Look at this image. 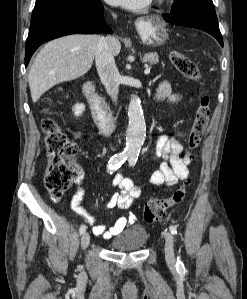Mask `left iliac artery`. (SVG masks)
I'll return each mask as SVG.
<instances>
[{"label": "left iliac artery", "instance_id": "1", "mask_svg": "<svg viewBox=\"0 0 247 299\" xmlns=\"http://www.w3.org/2000/svg\"><path fill=\"white\" fill-rule=\"evenodd\" d=\"M129 165L130 166H134L135 165V163H136V161H137V157L136 156H134V155H131L130 157H129ZM169 229H170V232L173 234V235H176L177 234V228L175 227V226H173V225H171L170 227H169ZM178 259V262H177V264L178 265H183L182 263H181V261L179 260V258H177Z\"/></svg>", "mask_w": 247, "mask_h": 299}]
</instances>
